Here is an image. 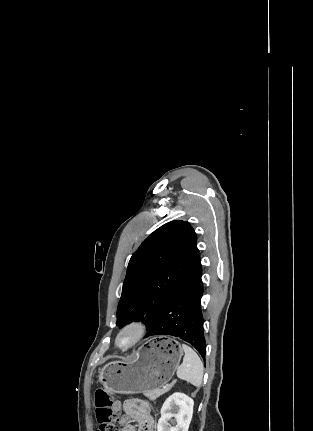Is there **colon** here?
Listing matches in <instances>:
<instances>
[{
  "label": "colon",
  "mask_w": 313,
  "mask_h": 431,
  "mask_svg": "<svg viewBox=\"0 0 313 431\" xmlns=\"http://www.w3.org/2000/svg\"><path fill=\"white\" fill-rule=\"evenodd\" d=\"M95 415L98 422L97 431H119L116 415L113 412V395L106 388H97L94 392Z\"/></svg>",
  "instance_id": "1"
}]
</instances>
